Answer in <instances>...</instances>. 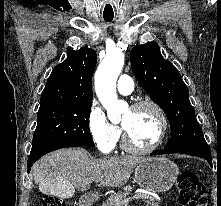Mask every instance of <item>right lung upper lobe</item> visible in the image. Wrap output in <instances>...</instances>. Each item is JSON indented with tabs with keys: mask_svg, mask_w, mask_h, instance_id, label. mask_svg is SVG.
Masks as SVG:
<instances>
[{
	"mask_svg": "<svg viewBox=\"0 0 221 206\" xmlns=\"http://www.w3.org/2000/svg\"><path fill=\"white\" fill-rule=\"evenodd\" d=\"M97 55L92 48L71 50L55 66L41 95L40 108L92 103V75Z\"/></svg>",
	"mask_w": 221,
	"mask_h": 206,
	"instance_id": "1",
	"label": "right lung upper lobe"
}]
</instances>
